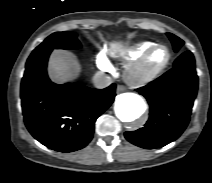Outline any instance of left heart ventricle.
I'll use <instances>...</instances> for the list:
<instances>
[{"mask_svg":"<svg viewBox=\"0 0 212 183\" xmlns=\"http://www.w3.org/2000/svg\"><path fill=\"white\" fill-rule=\"evenodd\" d=\"M168 53L165 48H157L149 56L147 62L142 68L143 72H150L159 68L167 59Z\"/></svg>","mask_w":212,"mask_h":183,"instance_id":"obj_1","label":"left heart ventricle"}]
</instances>
